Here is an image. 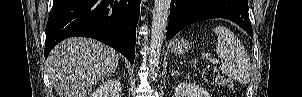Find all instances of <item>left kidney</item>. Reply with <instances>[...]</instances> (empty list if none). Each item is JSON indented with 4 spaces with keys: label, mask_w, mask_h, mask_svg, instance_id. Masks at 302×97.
Segmentation results:
<instances>
[{
    "label": "left kidney",
    "mask_w": 302,
    "mask_h": 97,
    "mask_svg": "<svg viewBox=\"0 0 302 97\" xmlns=\"http://www.w3.org/2000/svg\"><path fill=\"white\" fill-rule=\"evenodd\" d=\"M175 97H210V94L195 83L181 82L175 89Z\"/></svg>",
    "instance_id": "left-kidney-1"
}]
</instances>
